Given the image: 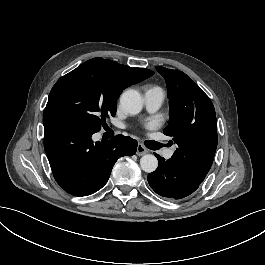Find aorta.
Returning <instances> with one entry per match:
<instances>
[{
    "label": "aorta",
    "mask_w": 265,
    "mask_h": 265,
    "mask_svg": "<svg viewBox=\"0 0 265 265\" xmlns=\"http://www.w3.org/2000/svg\"><path fill=\"white\" fill-rule=\"evenodd\" d=\"M143 97L135 89L125 90L120 97V105L129 114H138L143 107ZM140 167L146 173L154 172L158 167V160L154 155H144L140 159Z\"/></svg>",
    "instance_id": "1"
}]
</instances>
